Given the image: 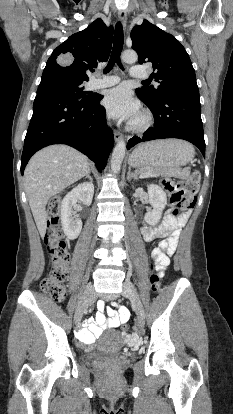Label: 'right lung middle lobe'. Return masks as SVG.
Wrapping results in <instances>:
<instances>
[{
	"label": "right lung middle lobe",
	"mask_w": 233,
	"mask_h": 414,
	"mask_svg": "<svg viewBox=\"0 0 233 414\" xmlns=\"http://www.w3.org/2000/svg\"><path fill=\"white\" fill-rule=\"evenodd\" d=\"M83 89L82 81L50 76L42 77L37 94L49 93L74 100H89L95 96V94L84 92Z\"/></svg>",
	"instance_id": "dd1d6c3e"
}]
</instances>
